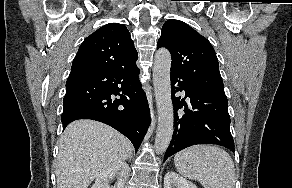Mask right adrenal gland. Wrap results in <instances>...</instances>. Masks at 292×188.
Here are the masks:
<instances>
[{
  "label": "right adrenal gland",
  "mask_w": 292,
  "mask_h": 188,
  "mask_svg": "<svg viewBox=\"0 0 292 188\" xmlns=\"http://www.w3.org/2000/svg\"><path fill=\"white\" fill-rule=\"evenodd\" d=\"M128 159H129V161L131 162V159H132V155H130V156L128 157Z\"/></svg>",
  "instance_id": "obj_1"
}]
</instances>
